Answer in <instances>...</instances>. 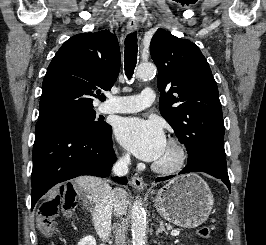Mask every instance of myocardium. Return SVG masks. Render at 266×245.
I'll list each match as a JSON object with an SVG mask.
<instances>
[{
    "mask_svg": "<svg viewBox=\"0 0 266 245\" xmlns=\"http://www.w3.org/2000/svg\"><path fill=\"white\" fill-rule=\"evenodd\" d=\"M167 143L174 145L177 148L178 151V157L176 162L169 167L161 166L156 164L155 162L152 164L151 168L155 173L161 174V175H173L178 173L182 170V168L185 165V162L187 160V149L185 145L176 138H170L168 139Z\"/></svg>",
    "mask_w": 266,
    "mask_h": 245,
    "instance_id": "f54148a6",
    "label": "myocardium"
}]
</instances>
